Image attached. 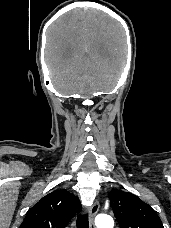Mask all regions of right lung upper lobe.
Masks as SVG:
<instances>
[{"label":"right lung upper lobe","instance_id":"1","mask_svg":"<svg viewBox=\"0 0 171 228\" xmlns=\"http://www.w3.org/2000/svg\"><path fill=\"white\" fill-rule=\"evenodd\" d=\"M80 210L77 197L66 190H55L28 211L19 228H65Z\"/></svg>","mask_w":171,"mask_h":228}]
</instances>
